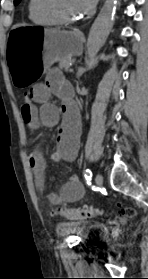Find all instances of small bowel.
Listing matches in <instances>:
<instances>
[{
	"mask_svg": "<svg viewBox=\"0 0 148 279\" xmlns=\"http://www.w3.org/2000/svg\"><path fill=\"white\" fill-rule=\"evenodd\" d=\"M32 102L23 104L21 114L24 121L32 129L54 128L61 121L57 136L56 150L51 154L53 161L71 162L75 159L81 131L78 108L72 100L71 85L65 80L62 73L53 69L47 75L44 83H39L30 89ZM52 95L61 100V106L50 103ZM35 104H39L38 108ZM30 166L34 172L35 184L41 192L44 189L45 160L39 151L31 154ZM84 187L77 176H70L56 194L49 199L53 204L71 203L84 196Z\"/></svg>",
	"mask_w": 148,
	"mask_h": 279,
	"instance_id": "c3829d8e",
	"label": "small bowel"
}]
</instances>
